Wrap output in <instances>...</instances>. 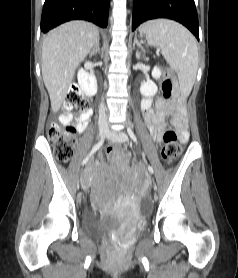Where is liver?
Listing matches in <instances>:
<instances>
[{
    "mask_svg": "<svg viewBox=\"0 0 238 278\" xmlns=\"http://www.w3.org/2000/svg\"><path fill=\"white\" fill-rule=\"evenodd\" d=\"M99 38L97 27L85 21H70L51 30L42 47V76L56 113L66 98L80 63Z\"/></svg>",
    "mask_w": 238,
    "mask_h": 278,
    "instance_id": "1",
    "label": "liver"
}]
</instances>
